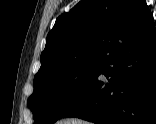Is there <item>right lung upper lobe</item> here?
<instances>
[{
    "label": "right lung upper lobe",
    "instance_id": "cb5924a9",
    "mask_svg": "<svg viewBox=\"0 0 156 124\" xmlns=\"http://www.w3.org/2000/svg\"><path fill=\"white\" fill-rule=\"evenodd\" d=\"M154 25L145 0H81L48 33L34 78L63 66L102 60L134 30Z\"/></svg>",
    "mask_w": 156,
    "mask_h": 124
}]
</instances>
